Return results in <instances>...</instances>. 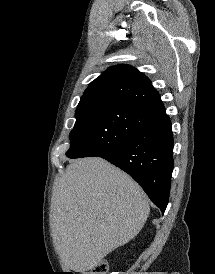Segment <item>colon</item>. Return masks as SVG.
I'll return each mask as SVG.
<instances>
[{
	"mask_svg": "<svg viewBox=\"0 0 215 274\" xmlns=\"http://www.w3.org/2000/svg\"><path fill=\"white\" fill-rule=\"evenodd\" d=\"M109 265L106 260L99 261L88 274H107Z\"/></svg>",
	"mask_w": 215,
	"mask_h": 274,
	"instance_id": "5ec220e1",
	"label": "colon"
}]
</instances>
